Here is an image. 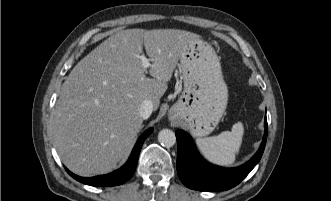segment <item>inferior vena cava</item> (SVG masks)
<instances>
[{
  "instance_id": "1",
  "label": "inferior vena cava",
  "mask_w": 331,
  "mask_h": 201,
  "mask_svg": "<svg viewBox=\"0 0 331 201\" xmlns=\"http://www.w3.org/2000/svg\"><path fill=\"white\" fill-rule=\"evenodd\" d=\"M153 103L150 100H144L140 108V116L148 119L153 111Z\"/></svg>"
}]
</instances>
